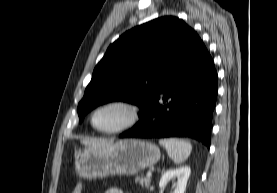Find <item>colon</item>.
Wrapping results in <instances>:
<instances>
[{
	"mask_svg": "<svg viewBox=\"0 0 277 193\" xmlns=\"http://www.w3.org/2000/svg\"><path fill=\"white\" fill-rule=\"evenodd\" d=\"M82 191H83V186L81 183H78L73 189L72 193H82Z\"/></svg>",
	"mask_w": 277,
	"mask_h": 193,
	"instance_id": "obj_1",
	"label": "colon"
}]
</instances>
